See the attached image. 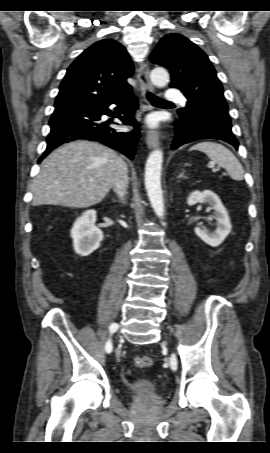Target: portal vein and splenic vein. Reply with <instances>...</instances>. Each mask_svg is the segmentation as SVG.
<instances>
[{
  "mask_svg": "<svg viewBox=\"0 0 270 453\" xmlns=\"http://www.w3.org/2000/svg\"><path fill=\"white\" fill-rule=\"evenodd\" d=\"M210 167L213 168L214 172L217 170V169L214 168V165H211Z\"/></svg>",
  "mask_w": 270,
  "mask_h": 453,
  "instance_id": "1",
  "label": "portal vein and splenic vein"
}]
</instances>
